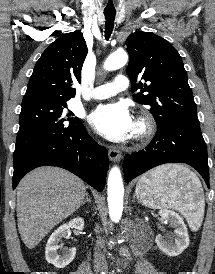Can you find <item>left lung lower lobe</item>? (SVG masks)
Masks as SVG:
<instances>
[{
	"label": "left lung lower lobe",
	"mask_w": 215,
	"mask_h": 274,
	"mask_svg": "<svg viewBox=\"0 0 215 274\" xmlns=\"http://www.w3.org/2000/svg\"><path fill=\"white\" fill-rule=\"evenodd\" d=\"M165 163L192 166L209 187L207 147L200 127L182 123L157 127L156 136L145 149L125 155V181L128 183L147 170Z\"/></svg>",
	"instance_id": "obj_1"
}]
</instances>
